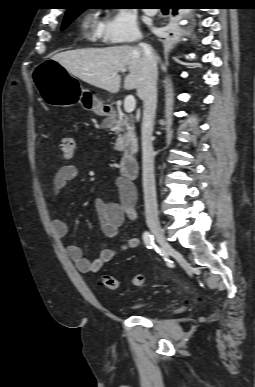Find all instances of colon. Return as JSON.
Listing matches in <instances>:
<instances>
[{
    "label": "colon",
    "mask_w": 255,
    "mask_h": 387,
    "mask_svg": "<svg viewBox=\"0 0 255 387\" xmlns=\"http://www.w3.org/2000/svg\"><path fill=\"white\" fill-rule=\"evenodd\" d=\"M58 148H59L61 157H64V158L72 157L75 149L73 138L67 135H62L59 138ZM144 281H145V278L141 274H136L132 278V284L135 287L143 286ZM100 285H102L103 287L109 290H116L118 288V281L114 276L105 274L100 278Z\"/></svg>",
    "instance_id": "5ec220e1"
}]
</instances>
